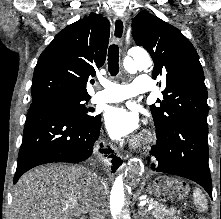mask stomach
<instances>
[{"instance_id":"1","label":"stomach","mask_w":221,"mask_h":219,"mask_svg":"<svg viewBox=\"0 0 221 219\" xmlns=\"http://www.w3.org/2000/svg\"><path fill=\"white\" fill-rule=\"evenodd\" d=\"M171 183L176 185L172 188ZM181 189H183L182 184L178 182V178L166 176L156 178L148 187L149 192L152 193V199H173V195H180Z\"/></svg>"}]
</instances>
